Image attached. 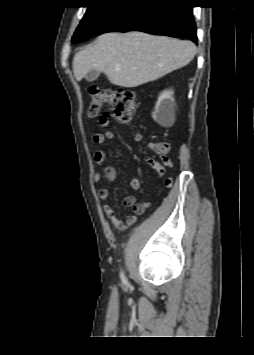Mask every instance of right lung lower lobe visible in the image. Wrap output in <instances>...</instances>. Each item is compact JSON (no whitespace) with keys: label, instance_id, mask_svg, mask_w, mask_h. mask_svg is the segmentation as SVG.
<instances>
[{"label":"right lung lower lobe","instance_id":"right-lung-lower-lobe-1","mask_svg":"<svg viewBox=\"0 0 254 355\" xmlns=\"http://www.w3.org/2000/svg\"><path fill=\"white\" fill-rule=\"evenodd\" d=\"M191 4L188 0H132L122 3L94 35L141 31L197 42ZM81 41L85 40H72V43Z\"/></svg>","mask_w":254,"mask_h":355}]
</instances>
